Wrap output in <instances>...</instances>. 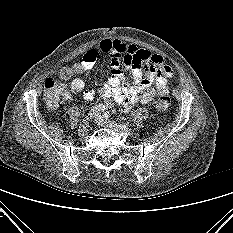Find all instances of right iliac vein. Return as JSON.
Masks as SVG:
<instances>
[{
    "instance_id": "right-iliac-vein-1",
    "label": "right iliac vein",
    "mask_w": 233,
    "mask_h": 233,
    "mask_svg": "<svg viewBox=\"0 0 233 233\" xmlns=\"http://www.w3.org/2000/svg\"><path fill=\"white\" fill-rule=\"evenodd\" d=\"M92 112L94 113V111H92ZM88 128H89V119L85 118L79 126L78 134L81 136H84L87 133Z\"/></svg>"
}]
</instances>
